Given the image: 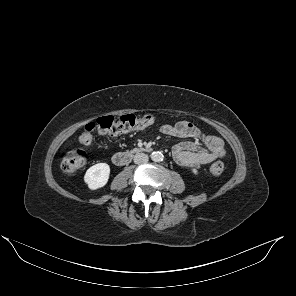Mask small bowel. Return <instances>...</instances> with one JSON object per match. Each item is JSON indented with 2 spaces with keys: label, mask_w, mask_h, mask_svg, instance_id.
<instances>
[{
  "label": "small bowel",
  "mask_w": 296,
  "mask_h": 296,
  "mask_svg": "<svg viewBox=\"0 0 296 296\" xmlns=\"http://www.w3.org/2000/svg\"><path fill=\"white\" fill-rule=\"evenodd\" d=\"M164 135L185 138L172 148L173 158L179 165L198 169L225 156V145L217 135H204L201 130L188 121L164 124L160 127Z\"/></svg>",
  "instance_id": "1"
}]
</instances>
